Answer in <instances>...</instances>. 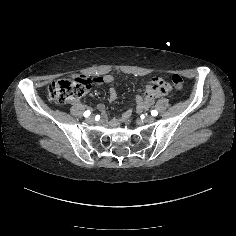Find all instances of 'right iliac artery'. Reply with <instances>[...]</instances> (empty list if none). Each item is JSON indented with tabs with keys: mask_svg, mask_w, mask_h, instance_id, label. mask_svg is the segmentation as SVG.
Returning <instances> with one entry per match:
<instances>
[{
	"mask_svg": "<svg viewBox=\"0 0 236 236\" xmlns=\"http://www.w3.org/2000/svg\"><path fill=\"white\" fill-rule=\"evenodd\" d=\"M83 115H84V117L90 116V111L89 110L85 111Z\"/></svg>",
	"mask_w": 236,
	"mask_h": 236,
	"instance_id": "obj_1",
	"label": "right iliac artery"
}]
</instances>
